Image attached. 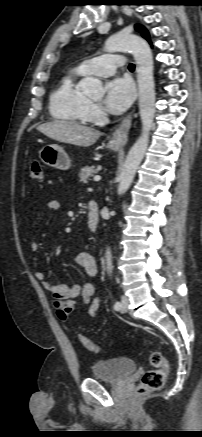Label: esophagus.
<instances>
[{"label":"esophagus","instance_id":"1","mask_svg":"<svg viewBox=\"0 0 202 437\" xmlns=\"http://www.w3.org/2000/svg\"><path fill=\"white\" fill-rule=\"evenodd\" d=\"M135 110L133 109L117 126L112 134L110 142L114 145H125L128 140V133L131 128L132 119L135 115Z\"/></svg>","mask_w":202,"mask_h":437}]
</instances>
